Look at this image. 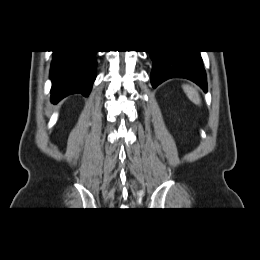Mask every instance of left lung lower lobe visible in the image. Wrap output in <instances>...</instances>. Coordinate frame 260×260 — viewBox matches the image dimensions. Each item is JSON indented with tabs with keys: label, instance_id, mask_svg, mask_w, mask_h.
<instances>
[{
	"label": "left lung lower lobe",
	"instance_id": "1",
	"mask_svg": "<svg viewBox=\"0 0 260 260\" xmlns=\"http://www.w3.org/2000/svg\"><path fill=\"white\" fill-rule=\"evenodd\" d=\"M153 61V88L170 78H186L207 91L206 73L199 50L149 51Z\"/></svg>",
	"mask_w": 260,
	"mask_h": 260
}]
</instances>
